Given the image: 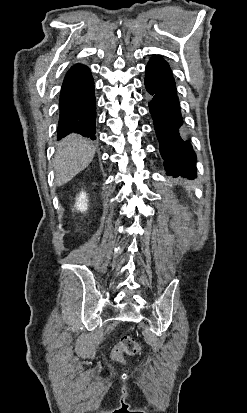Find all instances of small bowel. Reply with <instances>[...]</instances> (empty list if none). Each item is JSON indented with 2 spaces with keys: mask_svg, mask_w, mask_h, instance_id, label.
<instances>
[{
  "mask_svg": "<svg viewBox=\"0 0 247 413\" xmlns=\"http://www.w3.org/2000/svg\"><path fill=\"white\" fill-rule=\"evenodd\" d=\"M110 335H111V336H115V335H116V332H115V331H111V332H110Z\"/></svg>",
  "mask_w": 247,
  "mask_h": 413,
  "instance_id": "1",
  "label": "small bowel"
}]
</instances>
